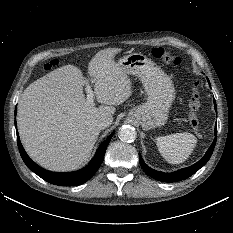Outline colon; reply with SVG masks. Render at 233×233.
I'll use <instances>...</instances> for the list:
<instances>
[{"instance_id":"1","label":"colon","mask_w":233,"mask_h":233,"mask_svg":"<svg viewBox=\"0 0 233 233\" xmlns=\"http://www.w3.org/2000/svg\"><path fill=\"white\" fill-rule=\"evenodd\" d=\"M151 54L154 58L160 59L166 64L179 66L183 62V58L178 55H173L169 51H167L163 47H156L152 49ZM58 62L56 60H52L44 65L46 70H49L56 66ZM201 101H200V92H199V85L198 82H193L192 89H191V97L189 100V113H188V120L191 128L196 133H201V126L199 120V109H200Z\"/></svg>"}]
</instances>
